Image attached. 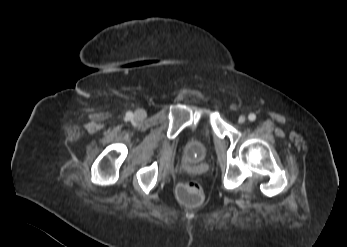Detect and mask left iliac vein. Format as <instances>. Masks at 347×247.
<instances>
[{"label": "left iliac vein", "instance_id": "left-iliac-vein-1", "mask_svg": "<svg viewBox=\"0 0 347 247\" xmlns=\"http://www.w3.org/2000/svg\"><path fill=\"white\" fill-rule=\"evenodd\" d=\"M246 118L245 116L241 115L239 118H238V123L239 124H243L245 122Z\"/></svg>", "mask_w": 347, "mask_h": 247}]
</instances>
